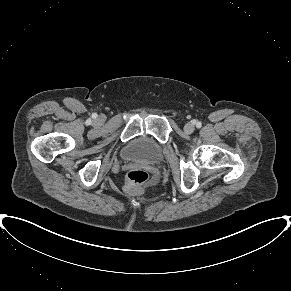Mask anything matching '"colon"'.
Masks as SVG:
<instances>
[{
	"mask_svg": "<svg viewBox=\"0 0 291 291\" xmlns=\"http://www.w3.org/2000/svg\"><path fill=\"white\" fill-rule=\"evenodd\" d=\"M149 175L142 169H132L126 175V190L132 195L142 193L143 186L148 181Z\"/></svg>",
	"mask_w": 291,
	"mask_h": 291,
	"instance_id": "5ec220e1",
	"label": "colon"
}]
</instances>
